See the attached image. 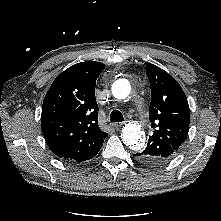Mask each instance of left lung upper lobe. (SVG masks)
I'll return each instance as SVG.
<instances>
[{
    "mask_svg": "<svg viewBox=\"0 0 221 221\" xmlns=\"http://www.w3.org/2000/svg\"><path fill=\"white\" fill-rule=\"evenodd\" d=\"M146 64L151 86L149 119L153 134L147 147L136 154L148 164H161L173 156L188 134L190 109L178 82L161 68Z\"/></svg>",
    "mask_w": 221,
    "mask_h": 221,
    "instance_id": "1",
    "label": "left lung upper lobe"
}]
</instances>
